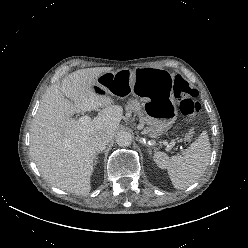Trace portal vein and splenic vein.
<instances>
[{"label": "portal vein and splenic vein", "mask_w": 248, "mask_h": 248, "mask_svg": "<svg viewBox=\"0 0 248 248\" xmlns=\"http://www.w3.org/2000/svg\"><path fill=\"white\" fill-rule=\"evenodd\" d=\"M90 120V117L88 116H83L79 119L81 123H87Z\"/></svg>", "instance_id": "18ae733b"}]
</instances>
